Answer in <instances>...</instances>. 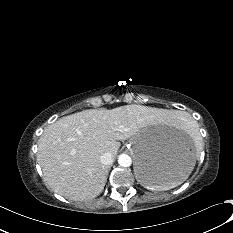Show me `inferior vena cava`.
I'll use <instances>...</instances> for the list:
<instances>
[{"instance_id": "602c4592", "label": "inferior vena cava", "mask_w": 233, "mask_h": 233, "mask_svg": "<svg viewBox=\"0 0 233 233\" xmlns=\"http://www.w3.org/2000/svg\"><path fill=\"white\" fill-rule=\"evenodd\" d=\"M100 161L103 165H110L113 162V157L110 152H106L100 157Z\"/></svg>"}]
</instances>
